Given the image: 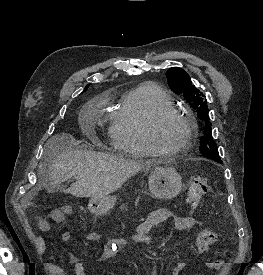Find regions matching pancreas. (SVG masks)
Here are the masks:
<instances>
[{
	"mask_svg": "<svg viewBox=\"0 0 263 275\" xmlns=\"http://www.w3.org/2000/svg\"><path fill=\"white\" fill-rule=\"evenodd\" d=\"M124 208H125V205H122V206H121V209H124Z\"/></svg>",
	"mask_w": 263,
	"mask_h": 275,
	"instance_id": "1",
	"label": "pancreas"
}]
</instances>
